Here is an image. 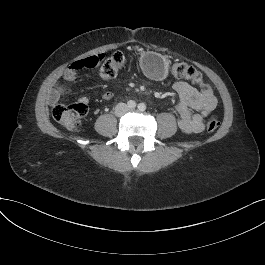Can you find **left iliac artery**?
<instances>
[{"mask_svg": "<svg viewBox=\"0 0 265 265\" xmlns=\"http://www.w3.org/2000/svg\"><path fill=\"white\" fill-rule=\"evenodd\" d=\"M138 109H139L140 111H145V110H146V105H145L144 103H140V104L138 105Z\"/></svg>", "mask_w": 265, "mask_h": 265, "instance_id": "obj_1", "label": "left iliac artery"}]
</instances>
